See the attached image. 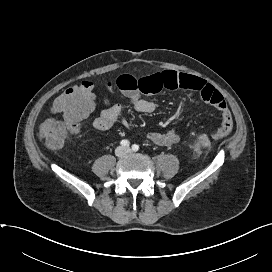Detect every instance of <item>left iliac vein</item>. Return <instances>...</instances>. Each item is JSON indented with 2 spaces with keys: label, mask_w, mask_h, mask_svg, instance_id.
<instances>
[{
  "label": "left iliac vein",
  "mask_w": 272,
  "mask_h": 272,
  "mask_svg": "<svg viewBox=\"0 0 272 272\" xmlns=\"http://www.w3.org/2000/svg\"><path fill=\"white\" fill-rule=\"evenodd\" d=\"M131 151V149L130 148H126V152H130Z\"/></svg>",
  "instance_id": "obj_1"
}]
</instances>
